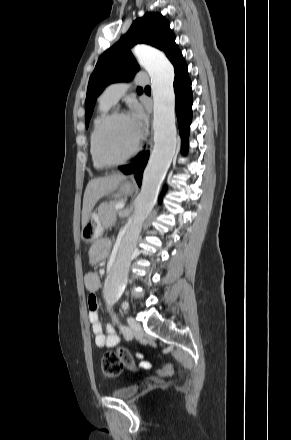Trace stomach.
<instances>
[{"label": "stomach", "mask_w": 291, "mask_h": 440, "mask_svg": "<svg viewBox=\"0 0 291 440\" xmlns=\"http://www.w3.org/2000/svg\"><path fill=\"white\" fill-rule=\"evenodd\" d=\"M134 188L127 182L123 181L118 187L116 197L129 195L133 192ZM103 231L102 224L96 213H91L87 223L82 228L81 237L85 242L93 241L98 238Z\"/></svg>", "instance_id": "stomach-1"}]
</instances>
